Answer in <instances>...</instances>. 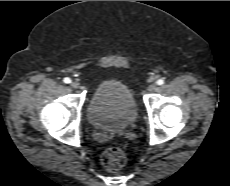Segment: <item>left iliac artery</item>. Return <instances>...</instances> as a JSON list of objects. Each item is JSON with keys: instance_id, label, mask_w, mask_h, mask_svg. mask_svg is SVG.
I'll list each match as a JSON object with an SVG mask.
<instances>
[{"instance_id": "1", "label": "left iliac artery", "mask_w": 230, "mask_h": 186, "mask_svg": "<svg viewBox=\"0 0 230 186\" xmlns=\"http://www.w3.org/2000/svg\"><path fill=\"white\" fill-rule=\"evenodd\" d=\"M157 84H158V85H163V84H164V80H163V79H159V80L157 81Z\"/></svg>"}]
</instances>
